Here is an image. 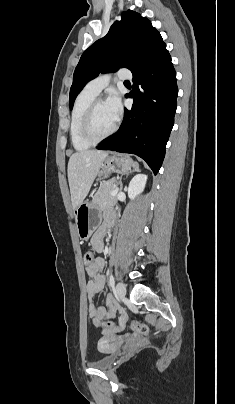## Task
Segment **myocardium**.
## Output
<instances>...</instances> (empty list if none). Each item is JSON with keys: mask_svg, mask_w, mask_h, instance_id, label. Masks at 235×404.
Here are the masks:
<instances>
[{"mask_svg": "<svg viewBox=\"0 0 235 404\" xmlns=\"http://www.w3.org/2000/svg\"><path fill=\"white\" fill-rule=\"evenodd\" d=\"M103 102L102 99H95L93 100L90 105L88 106L86 113L84 115L82 125H81V134L82 137L90 144L94 145L97 144L115 133L118 128V121L115 120L114 125L111 127L109 131L101 136H97L93 130V123H94V114L95 110L99 103Z\"/></svg>", "mask_w": 235, "mask_h": 404, "instance_id": "f54148a6", "label": "myocardium"}]
</instances>
